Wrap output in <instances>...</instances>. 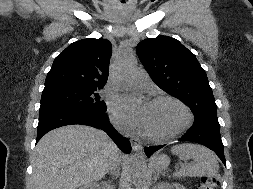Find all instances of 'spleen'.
I'll list each match as a JSON object with an SVG mask.
<instances>
[{"label": "spleen", "mask_w": 253, "mask_h": 189, "mask_svg": "<svg viewBox=\"0 0 253 189\" xmlns=\"http://www.w3.org/2000/svg\"><path fill=\"white\" fill-rule=\"evenodd\" d=\"M171 152L180 160L193 159L194 164L181 165L180 170L175 174L180 176H215L219 170L216 155L212 150L201 145L183 143L174 145Z\"/></svg>", "instance_id": "3e777b00"}]
</instances>
